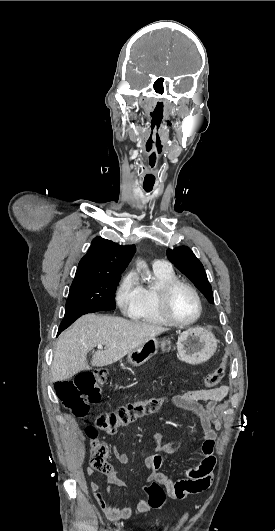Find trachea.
<instances>
[{
	"label": "trachea",
	"instance_id": "1",
	"mask_svg": "<svg viewBox=\"0 0 275 531\" xmlns=\"http://www.w3.org/2000/svg\"><path fill=\"white\" fill-rule=\"evenodd\" d=\"M145 191H151L152 187H144Z\"/></svg>",
	"mask_w": 275,
	"mask_h": 531
}]
</instances>
